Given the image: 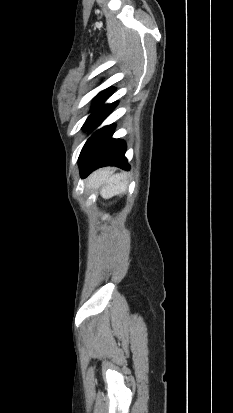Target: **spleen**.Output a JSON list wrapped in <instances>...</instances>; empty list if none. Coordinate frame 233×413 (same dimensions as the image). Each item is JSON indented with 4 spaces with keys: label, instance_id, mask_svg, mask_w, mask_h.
Returning a JSON list of instances; mask_svg holds the SVG:
<instances>
[{
    "label": "spleen",
    "instance_id": "obj_1",
    "mask_svg": "<svg viewBox=\"0 0 233 413\" xmlns=\"http://www.w3.org/2000/svg\"><path fill=\"white\" fill-rule=\"evenodd\" d=\"M96 182L101 187L100 195L104 199H109L117 194H121L127 190V174H114L111 176L102 177L99 175Z\"/></svg>",
    "mask_w": 233,
    "mask_h": 413
}]
</instances>
